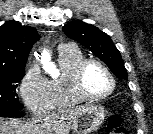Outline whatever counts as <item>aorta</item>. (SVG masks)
<instances>
[{"label":"aorta","mask_w":153,"mask_h":134,"mask_svg":"<svg viewBox=\"0 0 153 134\" xmlns=\"http://www.w3.org/2000/svg\"><path fill=\"white\" fill-rule=\"evenodd\" d=\"M41 63L47 73L53 74L54 65L51 63V55L47 51L43 52Z\"/></svg>","instance_id":"obj_1"}]
</instances>
